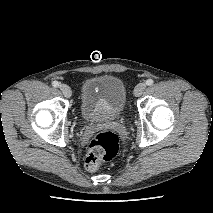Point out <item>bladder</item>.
Instances as JSON below:
<instances>
[{
    "label": "bladder",
    "mask_w": 213,
    "mask_h": 213,
    "mask_svg": "<svg viewBox=\"0 0 213 213\" xmlns=\"http://www.w3.org/2000/svg\"><path fill=\"white\" fill-rule=\"evenodd\" d=\"M126 102L124 82L115 76L101 75L86 79L80 89V112L90 123L117 119Z\"/></svg>",
    "instance_id": "1"
}]
</instances>
